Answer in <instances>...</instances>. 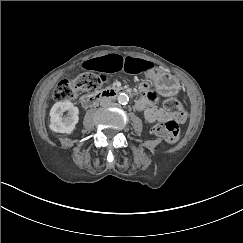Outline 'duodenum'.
Returning <instances> with one entry per match:
<instances>
[{"instance_id":"duodenum-1","label":"duodenum","mask_w":243,"mask_h":243,"mask_svg":"<svg viewBox=\"0 0 243 243\" xmlns=\"http://www.w3.org/2000/svg\"><path fill=\"white\" fill-rule=\"evenodd\" d=\"M121 93L128 95H133V92L130 89L122 87H112L100 91L96 94L85 95L81 99V103L85 108L92 107L103 99H113Z\"/></svg>"}]
</instances>
